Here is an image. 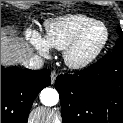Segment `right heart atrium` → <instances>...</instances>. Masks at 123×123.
<instances>
[{
	"mask_svg": "<svg viewBox=\"0 0 123 123\" xmlns=\"http://www.w3.org/2000/svg\"><path fill=\"white\" fill-rule=\"evenodd\" d=\"M27 41L42 55H48L50 47L47 44L44 36L37 30L28 29L25 33Z\"/></svg>",
	"mask_w": 123,
	"mask_h": 123,
	"instance_id": "obj_1",
	"label": "right heart atrium"
}]
</instances>
